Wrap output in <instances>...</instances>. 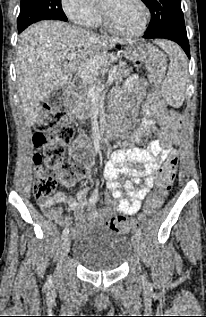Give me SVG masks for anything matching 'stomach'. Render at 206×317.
I'll return each instance as SVG.
<instances>
[{"instance_id":"stomach-1","label":"stomach","mask_w":206,"mask_h":317,"mask_svg":"<svg viewBox=\"0 0 206 317\" xmlns=\"http://www.w3.org/2000/svg\"><path fill=\"white\" fill-rule=\"evenodd\" d=\"M124 56L128 59V66H143L144 62L152 55V47L143 42H130L126 44L123 51ZM112 65L111 55H92V59H81V66L76 68L77 74H86L80 76V83L99 82V77L96 76L99 72L104 71V66Z\"/></svg>"}]
</instances>
